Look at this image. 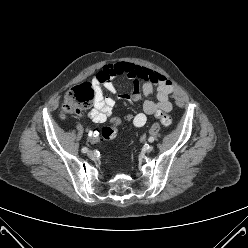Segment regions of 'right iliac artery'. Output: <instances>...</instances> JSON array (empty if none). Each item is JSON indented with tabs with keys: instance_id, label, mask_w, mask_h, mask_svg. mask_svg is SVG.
Masks as SVG:
<instances>
[{
	"instance_id": "1",
	"label": "right iliac artery",
	"mask_w": 248,
	"mask_h": 248,
	"mask_svg": "<svg viewBox=\"0 0 248 248\" xmlns=\"http://www.w3.org/2000/svg\"><path fill=\"white\" fill-rule=\"evenodd\" d=\"M81 151H82L83 153H86V152L88 151V148L83 147V148L81 149Z\"/></svg>"
}]
</instances>
